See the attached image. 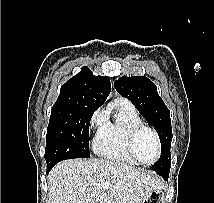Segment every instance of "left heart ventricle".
Listing matches in <instances>:
<instances>
[{"mask_svg":"<svg viewBox=\"0 0 214 203\" xmlns=\"http://www.w3.org/2000/svg\"><path fill=\"white\" fill-rule=\"evenodd\" d=\"M136 152L144 162H152L157 155V148L154 137L149 131H143L136 141Z\"/></svg>","mask_w":214,"mask_h":203,"instance_id":"left-heart-ventricle-1","label":"left heart ventricle"}]
</instances>
